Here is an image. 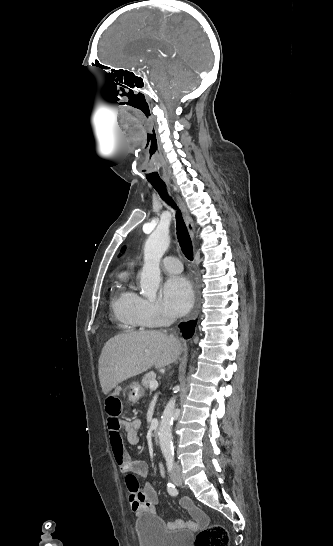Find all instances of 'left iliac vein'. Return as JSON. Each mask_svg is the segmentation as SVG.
Returning a JSON list of instances; mask_svg holds the SVG:
<instances>
[{
	"label": "left iliac vein",
	"mask_w": 333,
	"mask_h": 546,
	"mask_svg": "<svg viewBox=\"0 0 333 546\" xmlns=\"http://www.w3.org/2000/svg\"><path fill=\"white\" fill-rule=\"evenodd\" d=\"M173 481L178 486L182 485V479L179 473L174 476Z\"/></svg>",
	"instance_id": "left-iliac-vein-1"
}]
</instances>
